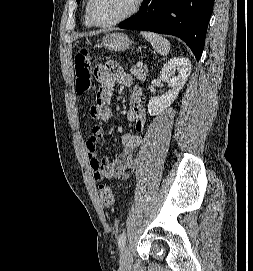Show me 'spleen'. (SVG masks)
<instances>
[{
  "mask_svg": "<svg viewBox=\"0 0 253 271\" xmlns=\"http://www.w3.org/2000/svg\"><path fill=\"white\" fill-rule=\"evenodd\" d=\"M141 35L163 56L170 51V42L161 35L153 32L141 31Z\"/></svg>",
  "mask_w": 253,
  "mask_h": 271,
  "instance_id": "obj_1",
  "label": "spleen"
}]
</instances>
